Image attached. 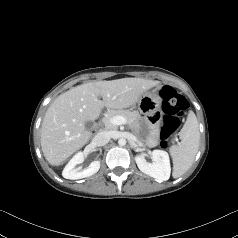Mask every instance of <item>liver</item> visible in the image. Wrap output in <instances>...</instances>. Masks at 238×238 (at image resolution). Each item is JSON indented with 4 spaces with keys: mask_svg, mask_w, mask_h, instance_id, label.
I'll return each mask as SVG.
<instances>
[{
    "mask_svg": "<svg viewBox=\"0 0 238 238\" xmlns=\"http://www.w3.org/2000/svg\"><path fill=\"white\" fill-rule=\"evenodd\" d=\"M158 84L153 80L122 78L85 83L60 94L47 109L41 126L45 159L60 165L90 140L92 132L85 128L87 121L97 119L104 107L123 109L136 104Z\"/></svg>",
    "mask_w": 238,
    "mask_h": 238,
    "instance_id": "liver-1",
    "label": "liver"
}]
</instances>
